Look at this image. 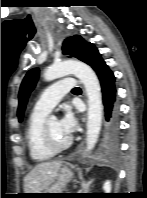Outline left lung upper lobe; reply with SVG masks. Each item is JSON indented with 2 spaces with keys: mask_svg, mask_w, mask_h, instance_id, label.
Listing matches in <instances>:
<instances>
[{
  "mask_svg": "<svg viewBox=\"0 0 147 198\" xmlns=\"http://www.w3.org/2000/svg\"><path fill=\"white\" fill-rule=\"evenodd\" d=\"M91 43L86 42L81 36L75 35L69 37L63 42V54L69 55L70 57H76L81 61H84L87 50ZM39 76V69H31L24 77L20 90H19V106H18V118L21 122L23 119V113L30 92L34 89Z\"/></svg>",
  "mask_w": 147,
  "mask_h": 198,
  "instance_id": "left-lung-upper-lobe-1",
  "label": "left lung upper lobe"
}]
</instances>
